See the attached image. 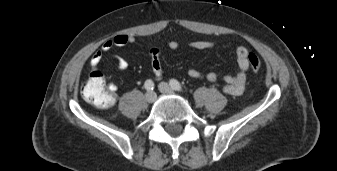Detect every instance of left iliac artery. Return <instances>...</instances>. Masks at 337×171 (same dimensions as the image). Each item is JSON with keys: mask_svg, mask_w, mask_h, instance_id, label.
<instances>
[{"mask_svg": "<svg viewBox=\"0 0 337 171\" xmlns=\"http://www.w3.org/2000/svg\"><path fill=\"white\" fill-rule=\"evenodd\" d=\"M170 85L176 91H183L181 84L175 79L170 80Z\"/></svg>", "mask_w": 337, "mask_h": 171, "instance_id": "obj_1", "label": "left iliac artery"}]
</instances>
